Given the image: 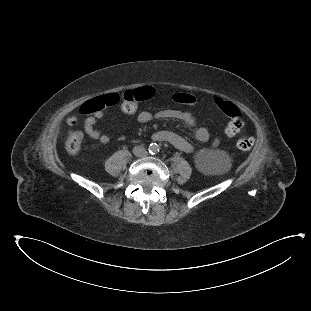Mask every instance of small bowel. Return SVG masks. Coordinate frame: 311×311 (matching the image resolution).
I'll use <instances>...</instances> for the list:
<instances>
[{
	"mask_svg": "<svg viewBox=\"0 0 311 311\" xmlns=\"http://www.w3.org/2000/svg\"><path fill=\"white\" fill-rule=\"evenodd\" d=\"M102 117V112L95 113L93 116L88 117L84 122V128L90 138L99 140L103 144H107L110 141V136L101 134L96 127L97 121ZM137 119L140 123H148L155 119H171L181 121L189 127H195L196 124L194 117L190 113L176 109H164L157 112L143 110L138 114ZM195 137L200 142H207L209 140V132L204 127H197L195 128ZM153 139L156 141L167 142L186 153L195 152V147L190 141L171 131H159L153 135ZM218 143V139H214L210 148H215Z\"/></svg>",
	"mask_w": 311,
	"mask_h": 311,
	"instance_id": "obj_1",
	"label": "small bowel"
}]
</instances>
